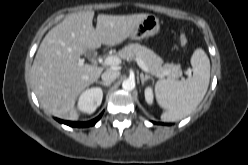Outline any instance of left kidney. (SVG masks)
<instances>
[{"label":"left kidney","instance_id":"5707ae66","mask_svg":"<svg viewBox=\"0 0 248 165\" xmlns=\"http://www.w3.org/2000/svg\"><path fill=\"white\" fill-rule=\"evenodd\" d=\"M153 99H154V96H153V90L151 87H147L145 89V100L148 104H152L153 103Z\"/></svg>","mask_w":248,"mask_h":165}]
</instances>
